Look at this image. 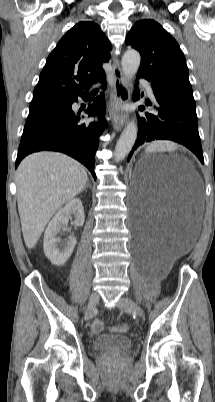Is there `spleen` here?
Instances as JSON below:
<instances>
[{
    "mask_svg": "<svg viewBox=\"0 0 215 402\" xmlns=\"http://www.w3.org/2000/svg\"><path fill=\"white\" fill-rule=\"evenodd\" d=\"M172 145H170L167 142H155L151 144L149 147H147V152H152L156 150H170L172 149Z\"/></svg>",
    "mask_w": 215,
    "mask_h": 402,
    "instance_id": "3e777b00",
    "label": "spleen"
}]
</instances>
